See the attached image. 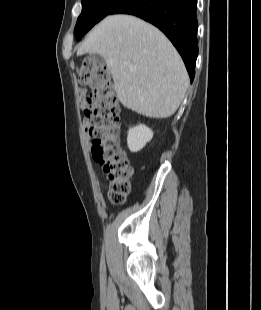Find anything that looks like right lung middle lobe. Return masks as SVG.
Wrapping results in <instances>:
<instances>
[{"instance_id": "dd1d6c3e", "label": "right lung middle lobe", "mask_w": 261, "mask_h": 310, "mask_svg": "<svg viewBox=\"0 0 261 310\" xmlns=\"http://www.w3.org/2000/svg\"><path fill=\"white\" fill-rule=\"evenodd\" d=\"M124 0H81L82 12L75 26V37H81L97 22L111 13V11Z\"/></svg>"}]
</instances>
